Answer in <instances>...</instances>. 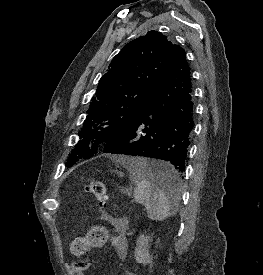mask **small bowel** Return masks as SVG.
Wrapping results in <instances>:
<instances>
[{"label":"small bowel","instance_id":"obj_1","mask_svg":"<svg viewBox=\"0 0 263 275\" xmlns=\"http://www.w3.org/2000/svg\"><path fill=\"white\" fill-rule=\"evenodd\" d=\"M101 219L110 224L115 232L116 239L114 242V248L120 260H124L127 255V232L129 230V223L125 218H115L107 212H103ZM126 275V274H124ZM136 275V274H134Z\"/></svg>","mask_w":263,"mask_h":275}]
</instances>
